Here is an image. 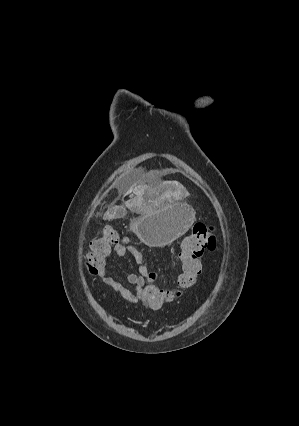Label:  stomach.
Instances as JSON below:
<instances>
[{"label":"stomach","instance_id":"0dacf381","mask_svg":"<svg viewBox=\"0 0 299 426\" xmlns=\"http://www.w3.org/2000/svg\"><path fill=\"white\" fill-rule=\"evenodd\" d=\"M196 212L186 202L157 206L133 218L130 230L149 247H164L184 235L196 220Z\"/></svg>","mask_w":299,"mask_h":426}]
</instances>
